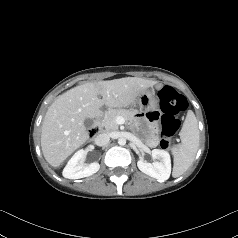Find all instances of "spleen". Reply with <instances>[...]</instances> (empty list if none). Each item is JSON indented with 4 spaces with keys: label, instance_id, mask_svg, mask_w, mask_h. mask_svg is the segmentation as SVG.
<instances>
[{
    "label": "spleen",
    "instance_id": "1",
    "mask_svg": "<svg viewBox=\"0 0 238 238\" xmlns=\"http://www.w3.org/2000/svg\"><path fill=\"white\" fill-rule=\"evenodd\" d=\"M181 143L172 148L174 156L173 177H179L192 165L199 147L198 122L192 111H188L180 132Z\"/></svg>",
    "mask_w": 238,
    "mask_h": 238
}]
</instances>
